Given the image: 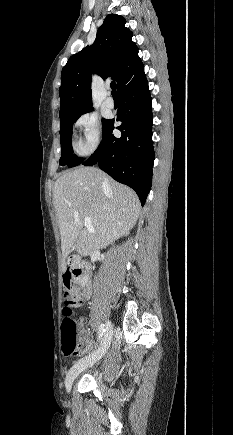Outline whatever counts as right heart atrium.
Here are the masks:
<instances>
[{
  "mask_svg": "<svg viewBox=\"0 0 233 435\" xmlns=\"http://www.w3.org/2000/svg\"><path fill=\"white\" fill-rule=\"evenodd\" d=\"M76 127L83 137L77 142V151L81 154L93 152L101 141V128L98 116L93 112H86L76 121Z\"/></svg>",
  "mask_w": 233,
  "mask_h": 435,
  "instance_id": "right-heart-atrium-1",
  "label": "right heart atrium"
}]
</instances>
